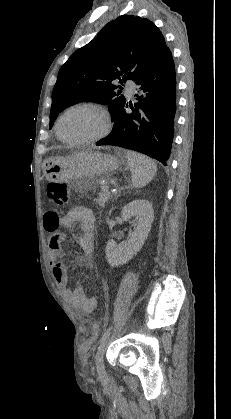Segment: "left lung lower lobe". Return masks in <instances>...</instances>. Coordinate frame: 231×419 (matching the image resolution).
<instances>
[{"mask_svg": "<svg viewBox=\"0 0 231 419\" xmlns=\"http://www.w3.org/2000/svg\"><path fill=\"white\" fill-rule=\"evenodd\" d=\"M139 86L132 113L124 104L112 117L111 133L96 145H116L147 154L164 165L174 137L176 74L172 54L162 57L135 80ZM126 103V102H125Z\"/></svg>", "mask_w": 231, "mask_h": 419, "instance_id": "1", "label": "left lung lower lobe"}]
</instances>
